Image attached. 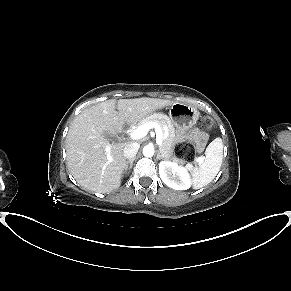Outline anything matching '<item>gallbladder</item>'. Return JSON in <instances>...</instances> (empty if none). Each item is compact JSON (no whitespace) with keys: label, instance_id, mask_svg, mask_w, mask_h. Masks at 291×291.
<instances>
[{"label":"gallbladder","instance_id":"obj_1","mask_svg":"<svg viewBox=\"0 0 291 291\" xmlns=\"http://www.w3.org/2000/svg\"><path fill=\"white\" fill-rule=\"evenodd\" d=\"M105 136L110 141H117V137L116 136H112V135H105Z\"/></svg>","mask_w":291,"mask_h":291}]
</instances>
